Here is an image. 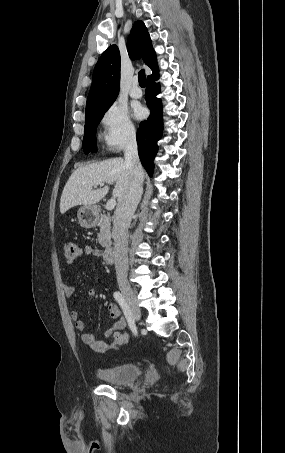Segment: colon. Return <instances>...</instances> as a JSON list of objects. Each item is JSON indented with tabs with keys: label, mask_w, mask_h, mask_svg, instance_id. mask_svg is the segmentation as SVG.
I'll use <instances>...</instances> for the list:
<instances>
[{
	"label": "colon",
	"mask_w": 285,
	"mask_h": 453,
	"mask_svg": "<svg viewBox=\"0 0 285 453\" xmlns=\"http://www.w3.org/2000/svg\"><path fill=\"white\" fill-rule=\"evenodd\" d=\"M64 257L69 263L77 260L81 255L80 246L73 240H66L63 244ZM129 342V336L126 333L116 332L114 334V346L119 347Z\"/></svg>",
	"instance_id": "obj_1"
}]
</instances>
